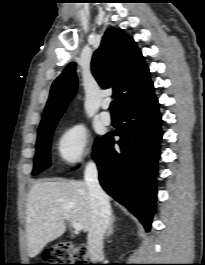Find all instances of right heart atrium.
<instances>
[{
    "label": "right heart atrium",
    "mask_w": 205,
    "mask_h": 265,
    "mask_svg": "<svg viewBox=\"0 0 205 265\" xmlns=\"http://www.w3.org/2000/svg\"><path fill=\"white\" fill-rule=\"evenodd\" d=\"M89 151V133L82 123L69 126L58 139V156L68 165L81 162L89 155Z\"/></svg>",
    "instance_id": "obj_1"
}]
</instances>
